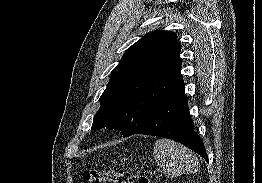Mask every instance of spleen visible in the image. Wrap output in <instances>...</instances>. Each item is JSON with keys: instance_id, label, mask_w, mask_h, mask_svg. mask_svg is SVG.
Here are the masks:
<instances>
[{"instance_id": "spleen-1", "label": "spleen", "mask_w": 262, "mask_h": 183, "mask_svg": "<svg viewBox=\"0 0 262 183\" xmlns=\"http://www.w3.org/2000/svg\"><path fill=\"white\" fill-rule=\"evenodd\" d=\"M153 158L168 178L196 172L199 165L197 157L189 149L168 139L155 142Z\"/></svg>"}]
</instances>
